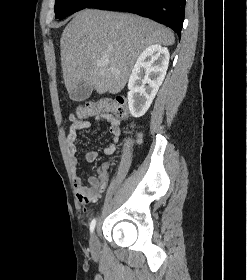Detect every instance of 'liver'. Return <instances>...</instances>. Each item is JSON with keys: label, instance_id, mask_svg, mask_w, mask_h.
<instances>
[{"label": "liver", "instance_id": "1", "mask_svg": "<svg viewBox=\"0 0 247 280\" xmlns=\"http://www.w3.org/2000/svg\"><path fill=\"white\" fill-rule=\"evenodd\" d=\"M174 34L137 15L85 9L63 30L60 49L65 87L70 97L82 84L99 94L125 87L136 59L147 47L171 46ZM99 61H107L98 66Z\"/></svg>", "mask_w": 247, "mask_h": 280}]
</instances>
